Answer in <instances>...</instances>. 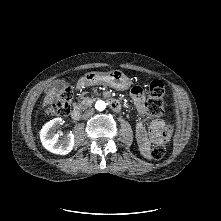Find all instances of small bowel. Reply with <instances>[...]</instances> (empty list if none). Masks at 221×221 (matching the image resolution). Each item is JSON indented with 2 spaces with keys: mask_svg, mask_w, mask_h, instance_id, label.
<instances>
[{
  "mask_svg": "<svg viewBox=\"0 0 221 221\" xmlns=\"http://www.w3.org/2000/svg\"><path fill=\"white\" fill-rule=\"evenodd\" d=\"M133 103L141 117L136 125V138L140 150L145 157H149L150 145L152 143L166 142L172 133V129L162 119H154L148 122V113L145 107V96L140 86L131 90Z\"/></svg>",
  "mask_w": 221,
  "mask_h": 221,
  "instance_id": "c3829d8e",
  "label": "small bowel"
}]
</instances>
